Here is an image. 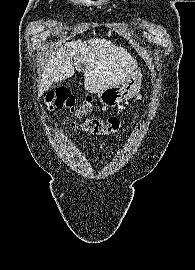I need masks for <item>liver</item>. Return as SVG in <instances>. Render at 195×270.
Wrapping results in <instances>:
<instances>
[{
    "mask_svg": "<svg viewBox=\"0 0 195 270\" xmlns=\"http://www.w3.org/2000/svg\"><path fill=\"white\" fill-rule=\"evenodd\" d=\"M136 68V59L123 47L106 39H79L48 54L38 94L47 91L53 82L72 77L75 69L84 74L85 89L98 94L126 82Z\"/></svg>",
    "mask_w": 195,
    "mask_h": 270,
    "instance_id": "6515ba94",
    "label": "liver"
}]
</instances>
